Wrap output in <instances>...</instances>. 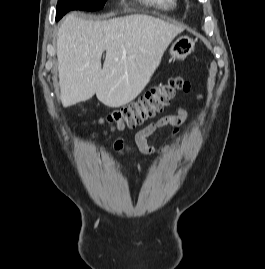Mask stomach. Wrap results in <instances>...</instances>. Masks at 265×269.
Listing matches in <instances>:
<instances>
[{"label":"stomach","mask_w":265,"mask_h":269,"mask_svg":"<svg viewBox=\"0 0 265 269\" xmlns=\"http://www.w3.org/2000/svg\"><path fill=\"white\" fill-rule=\"evenodd\" d=\"M195 41L187 35L178 37L170 46L169 54L173 60H182L194 51Z\"/></svg>","instance_id":"obj_1"}]
</instances>
